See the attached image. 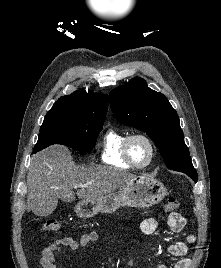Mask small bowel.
I'll use <instances>...</instances> for the list:
<instances>
[{
  "mask_svg": "<svg viewBox=\"0 0 221 268\" xmlns=\"http://www.w3.org/2000/svg\"><path fill=\"white\" fill-rule=\"evenodd\" d=\"M186 225V220L178 213H171L167 219V226L172 232H180ZM158 228V222L154 218L144 219L140 229L144 234H153ZM98 239L94 231L85 233L79 238L65 236L58 238L51 245L46 247L41 254L40 264L43 268H57L56 254L65 247L76 250L85 247ZM194 237L188 236L186 240L176 241L168 245L167 251L172 257H183L187 255L189 246L193 243ZM191 259L183 258L176 262L173 268H190ZM157 268H168L165 264H159Z\"/></svg>",
  "mask_w": 221,
  "mask_h": 268,
  "instance_id": "small-bowel-1",
  "label": "small bowel"
}]
</instances>
